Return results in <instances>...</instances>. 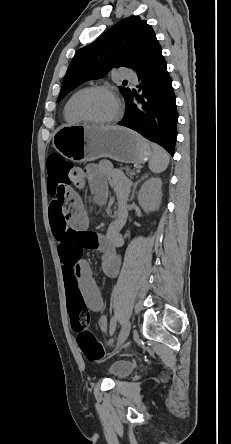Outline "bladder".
<instances>
[{
  "label": "bladder",
  "mask_w": 231,
  "mask_h": 444,
  "mask_svg": "<svg viewBox=\"0 0 231 444\" xmlns=\"http://www.w3.org/2000/svg\"><path fill=\"white\" fill-rule=\"evenodd\" d=\"M135 369V365L128 361H116L112 364L109 372L113 375L115 379H121L132 373Z\"/></svg>",
  "instance_id": "1"
}]
</instances>
